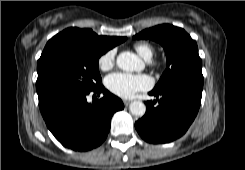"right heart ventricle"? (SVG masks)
<instances>
[{"label": "right heart ventricle", "mask_w": 245, "mask_h": 170, "mask_svg": "<svg viewBox=\"0 0 245 170\" xmlns=\"http://www.w3.org/2000/svg\"><path fill=\"white\" fill-rule=\"evenodd\" d=\"M134 49L145 60H150L154 55V48L147 42H138L134 44Z\"/></svg>", "instance_id": "1"}]
</instances>
